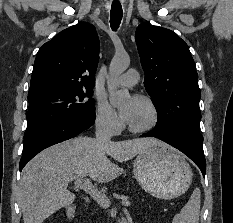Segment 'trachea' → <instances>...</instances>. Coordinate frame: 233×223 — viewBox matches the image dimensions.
Masks as SVG:
<instances>
[{"instance_id": "1", "label": "trachea", "mask_w": 233, "mask_h": 223, "mask_svg": "<svg viewBox=\"0 0 233 223\" xmlns=\"http://www.w3.org/2000/svg\"><path fill=\"white\" fill-rule=\"evenodd\" d=\"M122 7L119 2L115 1L112 3L111 14H110V25L112 30L116 31L122 20Z\"/></svg>"}]
</instances>
